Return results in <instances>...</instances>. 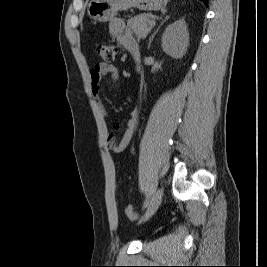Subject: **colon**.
<instances>
[{"label":"colon","instance_id":"1","mask_svg":"<svg viewBox=\"0 0 267 267\" xmlns=\"http://www.w3.org/2000/svg\"><path fill=\"white\" fill-rule=\"evenodd\" d=\"M96 53L104 62L109 63L114 60L116 48L111 44L99 43L96 45ZM125 214L130 220L137 218V213L132 205L125 207Z\"/></svg>","mask_w":267,"mask_h":267}]
</instances>
